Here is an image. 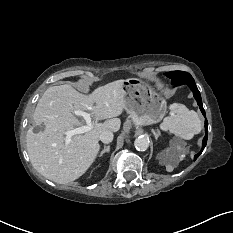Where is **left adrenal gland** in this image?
Here are the masks:
<instances>
[{
    "mask_svg": "<svg viewBox=\"0 0 233 233\" xmlns=\"http://www.w3.org/2000/svg\"><path fill=\"white\" fill-rule=\"evenodd\" d=\"M152 131H153V134L155 135V138L157 139L159 135L154 130Z\"/></svg>",
    "mask_w": 233,
    "mask_h": 233,
    "instance_id": "left-adrenal-gland-1",
    "label": "left adrenal gland"
}]
</instances>
